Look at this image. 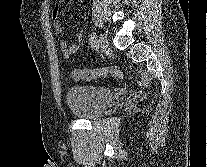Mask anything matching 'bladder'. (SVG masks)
I'll use <instances>...</instances> for the list:
<instances>
[{"label":"bladder","mask_w":207,"mask_h":167,"mask_svg":"<svg viewBox=\"0 0 207 167\" xmlns=\"http://www.w3.org/2000/svg\"><path fill=\"white\" fill-rule=\"evenodd\" d=\"M114 99L111 90L91 85L72 86L66 101L71 114L78 119L93 120L98 118Z\"/></svg>","instance_id":"obj_1"}]
</instances>
